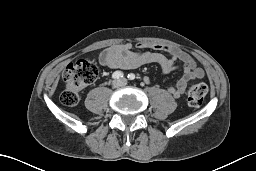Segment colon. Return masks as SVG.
Wrapping results in <instances>:
<instances>
[{"label": "colon", "instance_id": "1", "mask_svg": "<svg viewBox=\"0 0 256 171\" xmlns=\"http://www.w3.org/2000/svg\"><path fill=\"white\" fill-rule=\"evenodd\" d=\"M98 74L96 64L87 58L69 64L63 72L65 88L60 100L66 106H74L79 102L81 90L94 82ZM208 92L205 83L191 84L188 89V104L190 107H199Z\"/></svg>", "mask_w": 256, "mask_h": 171}]
</instances>
